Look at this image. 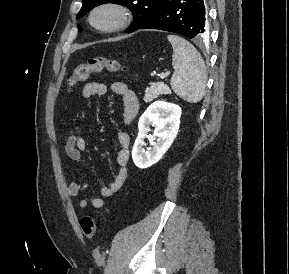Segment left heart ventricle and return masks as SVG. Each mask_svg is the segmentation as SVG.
<instances>
[{"label":"left heart ventricle","instance_id":"left-heart-ventricle-1","mask_svg":"<svg viewBox=\"0 0 289 274\" xmlns=\"http://www.w3.org/2000/svg\"><path fill=\"white\" fill-rule=\"evenodd\" d=\"M112 18H113L112 14L108 12H102L95 17V22L98 25L104 26L108 25L112 21Z\"/></svg>","mask_w":289,"mask_h":274}]
</instances>
